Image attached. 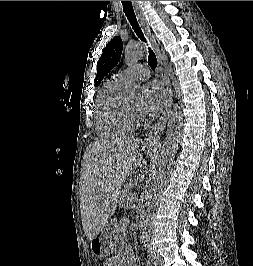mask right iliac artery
<instances>
[{
	"label": "right iliac artery",
	"mask_w": 253,
	"mask_h": 266,
	"mask_svg": "<svg viewBox=\"0 0 253 266\" xmlns=\"http://www.w3.org/2000/svg\"><path fill=\"white\" fill-rule=\"evenodd\" d=\"M148 254H149V258L151 260L152 265L153 266H157V259H156V254H155L154 247H149L148 248Z\"/></svg>",
	"instance_id": "right-iliac-artery-1"
}]
</instances>
